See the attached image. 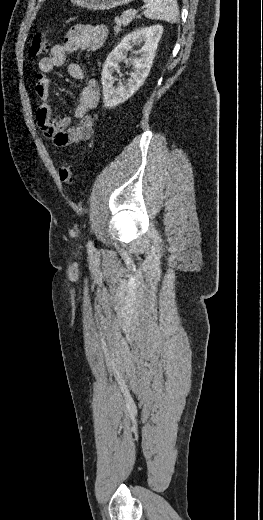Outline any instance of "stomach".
Here are the masks:
<instances>
[{"label":"stomach","instance_id":"obj_1","mask_svg":"<svg viewBox=\"0 0 263 520\" xmlns=\"http://www.w3.org/2000/svg\"><path fill=\"white\" fill-rule=\"evenodd\" d=\"M134 0H71L74 5L90 10L105 11Z\"/></svg>","mask_w":263,"mask_h":520}]
</instances>
